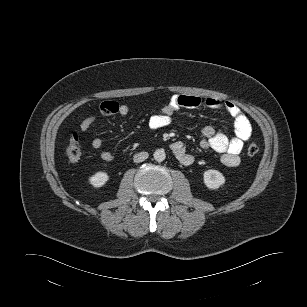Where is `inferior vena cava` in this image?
Masks as SVG:
<instances>
[{"label":"inferior vena cava","mask_w":307,"mask_h":307,"mask_svg":"<svg viewBox=\"0 0 307 307\" xmlns=\"http://www.w3.org/2000/svg\"><path fill=\"white\" fill-rule=\"evenodd\" d=\"M148 156L149 154L147 152H140L134 155L133 160L135 163L143 162L148 158Z\"/></svg>","instance_id":"obj_1"}]
</instances>
